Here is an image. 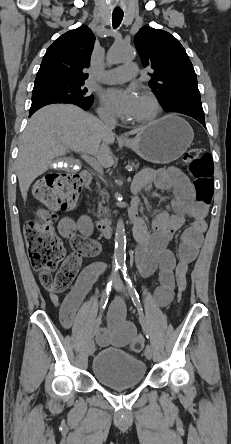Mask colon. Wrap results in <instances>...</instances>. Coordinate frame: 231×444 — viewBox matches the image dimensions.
<instances>
[{
	"instance_id": "colon-1",
	"label": "colon",
	"mask_w": 231,
	"mask_h": 444,
	"mask_svg": "<svg viewBox=\"0 0 231 444\" xmlns=\"http://www.w3.org/2000/svg\"><path fill=\"white\" fill-rule=\"evenodd\" d=\"M183 164L193 178L198 202L209 204L213 195V162L210 154L204 149L192 148L183 157ZM83 182L78 175L70 173L49 174L39 180L33 194L37 200L47 207L38 216L26 223L24 237L31 264L38 273L43 286L51 292L66 290L74 280L79 266L80 254L67 256L58 269V264L64 258V247L53 229L55 213L70 210L81 191ZM187 288L185 274L177 278V296L180 300ZM143 342L135 340L131 349L138 352Z\"/></svg>"
}]
</instances>
